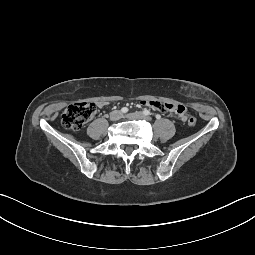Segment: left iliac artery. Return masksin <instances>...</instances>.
Here are the masks:
<instances>
[{
    "label": "left iliac artery",
    "instance_id": "left-iliac-artery-1",
    "mask_svg": "<svg viewBox=\"0 0 255 255\" xmlns=\"http://www.w3.org/2000/svg\"><path fill=\"white\" fill-rule=\"evenodd\" d=\"M143 113H144L145 115H151V112H150L149 110H147V109H145V110L143 111Z\"/></svg>",
    "mask_w": 255,
    "mask_h": 255
}]
</instances>
